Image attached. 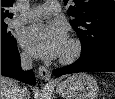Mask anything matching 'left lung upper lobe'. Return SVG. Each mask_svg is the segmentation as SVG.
<instances>
[{
  "instance_id": "left-lung-upper-lobe-1",
  "label": "left lung upper lobe",
  "mask_w": 115,
  "mask_h": 99,
  "mask_svg": "<svg viewBox=\"0 0 115 99\" xmlns=\"http://www.w3.org/2000/svg\"><path fill=\"white\" fill-rule=\"evenodd\" d=\"M69 5L68 16L80 38L81 55L115 48L114 0H64Z\"/></svg>"
}]
</instances>
